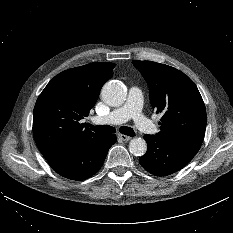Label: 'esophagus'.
I'll return each instance as SVG.
<instances>
[{
	"mask_svg": "<svg viewBox=\"0 0 233 233\" xmlns=\"http://www.w3.org/2000/svg\"><path fill=\"white\" fill-rule=\"evenodd\" d=\"M118 138L122 141H129L131 139L130 136L124 135V134H118Z\"/></svg>",
	"mask_w": 233,
	"mask_h": 233,
	"instance_id": "obj_1",
	"label": "esophagus"
}]
</instances>
